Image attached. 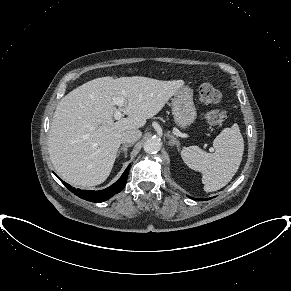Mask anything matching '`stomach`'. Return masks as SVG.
Returning <instances> with one entry per match:
<instances>
[{"instance_id": "0dacf381", "label": "stomach", "mask_w": 291, "mask_h": 291, "mask_svg": "<svg viewBox=\"0 0 291 291\" xmlns=\"http://www.w3.org/2000/svg\"><path fill=\"white\" fill-rule=\"evenodd\" d=\"M172 114L176 125L182 129H187L195 121L197 112L189 87H182L174 94Z\"/></svg>"}]
</instances>
